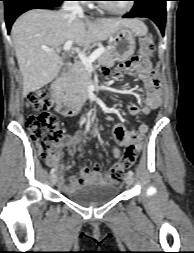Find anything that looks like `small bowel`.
<instances>
[{"mask_svg": "<svg viewBox=\"0 0 194 253\" xmlns=\"http://www.w3.org/2000/svg\"><path fill=\"white\" fill-rule=\"evenodd\" d=\"M117 71L128 75H136L144 87L145 105L140 108L136 104H129L128 111L130 114H142L143 116H149L153 110L157 109L161 105L162 97L160 84L153 76V74H158V69H151L150 62L147 59L133 57L121 64L117 68ZM148 130L149 126L146 123H141L138 126L137 131L128 130L121 123H117L113 127V135L118 145L124 146L126 149L133 145L140 150ZM83 139L84 134L78 132L74 136L64 137L61 141V145L66 147L68 155L72 156L75 154L78 144ZM113 154L116 158L120 157V151L116 146L113 148ZM47 162L50 166H54L58 171L59 187L66 193L91 182H98L102 184L117 183V181L112 178L111 173H103L101 171L99 164H95L93 170H90L87 166L82 167L79 177L70 176L68 181H66L65 175L71 167L65 164H58L54 160H48Z\"/></svg>", "mask_w": 194, "mask_h": 253, "instance_id": "1", "label": "small bowel"}]
</instances>
